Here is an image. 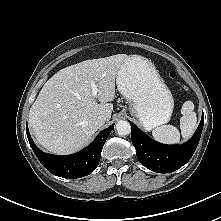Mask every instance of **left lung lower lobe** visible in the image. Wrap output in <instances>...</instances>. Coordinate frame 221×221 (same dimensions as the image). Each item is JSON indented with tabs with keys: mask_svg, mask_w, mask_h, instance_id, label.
Here are the masks:
<instances>
[{
	"mask_svg": "<svg viewBox=\"0 0 221 221\" xmlns=\"http://www.w3.org/2000/svg\"><path fill=\"white\" fill-rule=\"evenodd\" d=\"M203 124L204 115L190 140L182 145H165L154 141L130 122L131 139L139 162L158 173H170L179 169L194 154L201 137Z\"/></svg>",
	"mask_w": 221,
	"mask_h": 221,
	"instance_id": "1",
	"label": "left lung lower lobe"
}]
</instances>
